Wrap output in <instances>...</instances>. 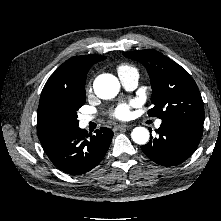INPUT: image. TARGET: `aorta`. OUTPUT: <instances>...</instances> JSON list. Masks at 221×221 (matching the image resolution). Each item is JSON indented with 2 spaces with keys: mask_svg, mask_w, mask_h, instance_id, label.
Listing matches in <instances>:
<instances>
[{
  "mask_svg": "<svg viewBox=\"0 0 221 221\" xmlns=\"http://www.w3.org/2000/svg\"><path fill=\"white\" fill-rule=\"evenodd\" d=\"M93 87L99 98L111 99L118 94L120 83L114 75L101 74L95 79ZM131 137L135 143L144 145L149 140V131L144 127H136L131 132Z\"/></svg>",
  "mask_w": 221,
  "mask_h": 221,
  "instance_id": "aorta-1",
  "label": "aorta"
}]
</instances>
